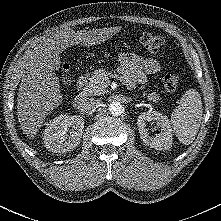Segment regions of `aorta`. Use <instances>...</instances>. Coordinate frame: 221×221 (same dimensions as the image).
<instances>
[{
  "instance_id": "1",
  "label": "aorta",
  "mask_w": 221,
  "mask_h": 221,
  "mask_svg": "<svg viewBox=\"0 0 221 221\" xmlns=\"http://www.w3.org/2000/svg\"><path fill=\"white\" fill-rule=\"evenodd\" d=\"M109 113L113 116L121 115L123 112V106L119 102H111L108 105Z\"/></svg>"
}]
</instances>
